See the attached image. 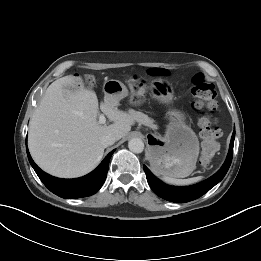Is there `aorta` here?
<instances>
[{"label": "aorta", "instance_id": "obj_1", "mask_svg": "<svg viewBox=\"0 0 261 261\" xmlns=\"http://www.w3.org/2000/svg\"><path fill=\"white\" fill-rule=\"evenodd\" d=\"M128 148L133 153H141L144 150V143L140 138H132L128 142Z\"/></svg>", "mask_w": 261, "mask_h": 261}]
</instances>
